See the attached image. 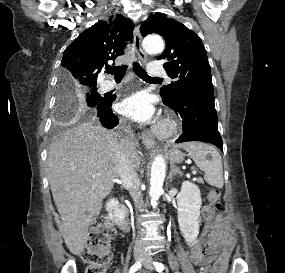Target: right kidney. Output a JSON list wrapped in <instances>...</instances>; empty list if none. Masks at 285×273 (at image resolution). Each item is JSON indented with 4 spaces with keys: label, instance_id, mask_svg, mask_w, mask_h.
<instances>
[{
    "label": "right kidney",
    "instance_id": "obj_1",
    "mask_svg": "<svg viewBox=\"0 0 285 273\" xmlns=\"http://www.w3.org/2000/svg\"><path fill=\"white\" fill-rule=\"evenodd\" d=\"M106 210L108 212V219L116 222H121L125 219L127 209L124 205H119L118 200L115 198L110 199L106 203Z\"/></svg>",
    "mask_w": 285,
    "mask_h": 273
}]
</instances>
